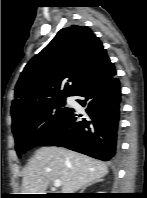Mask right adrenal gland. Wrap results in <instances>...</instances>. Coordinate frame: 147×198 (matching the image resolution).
<instances>
[{"mask_svg":"<svg viewBox=\"0 0 147 198\" xmlns=\"http://www.w3.org/2000/svg\"><path fill=\"white\" fill-rule=\"evenodd\" d=\"M97 181H101V180H97ZM97 181L89 182V183H87L86 185H84V187H82L80 193H83V191H84L87 187L91 186L92 184H94V183L97 182Z\"/></svg>","mask_w":147,"mask_h":198,"instance_id":"1","label":"right adrenal gland"}]
</instances>
